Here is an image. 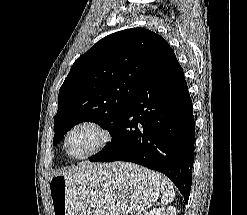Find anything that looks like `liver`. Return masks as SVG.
I'll return each mask as SVG.
<instances>
[{
    "mask_svg": "<svg viewBox=\"0 0 247 215\" xmlns=\"http://www.w3.org/2000/svg\"><path fill=\"white\" fill-rule=\"evenodd\" d=\"M92 166H94V164H90V163L83 164L80 167H74L72 169H69L68 171H64V172L58 173L57 175L71 176V175L76 174V173L84 172L86 169L91 168ZM99 166H101V165H99Z\"/></svg>",
    "mask_w": 247,
    "mask_h": 215,
    "instance_id": "obj_1",
    "label": "liver"
}]
</instances>
